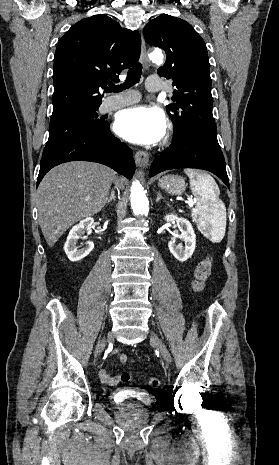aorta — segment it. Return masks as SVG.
<instances>
[{
    "label": "aorta",
    "instance_id": "1",
    "mask_svg": "<svg viewBox=\"0 0 279 465\" xmlns=\"http://www.w3.org/2000/svg\"><path fill=\"white\" fill-rule=\"evenodd\" d=\"M151 58L154 61L162 60L163 55L161 51L156 50L151 54ZM131 207L135 215L142 216L148 215L149 202L146 197L145 191L139 182H133L131 186Z\"/></svg>",
    "mask_w": 279,
    "mask_h": 465
}]
</instances>
